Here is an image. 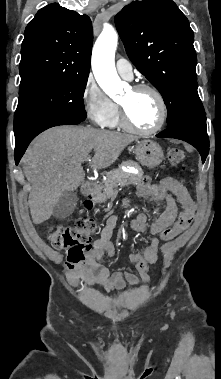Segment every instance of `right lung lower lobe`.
Segmentation results:
<instances>
[{
    "label": "right lung lower lobe",
    "instance_id": "right-lung-lower-lobe-1",
    "mask_svg": "<svg viewBox=\"0 0 221 379\" xmlns=\"http://www.w3.org/2000/svg\"><path fill=\"white\" fill-rule=\"evenodd\" d=\"M80 122H81V120L66 119V120L60 122V125L78 124ZM30 142H31V140L27 141V142L15 143V161H16V164L19 163L21 157L23 156V154H24V152H25V150H26V148Z\"/></svg>",
    "mask_w": 221,
    "mask_h": 379
}]
</instances>
